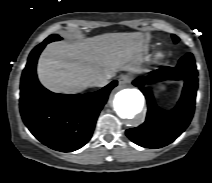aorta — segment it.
<instances>
[{"mask_svg": "<svg viewBox=\"0 0 212 183\" xmlns=\"http://www.w3.org/2000/svg\"><path fill=\"white\" fill-rule=\"evenodd\" d=\"M113 105L119 117L133 119L144 107V96L137 89H123L115 95Z\"/></svg>", "mask_w": 212, "mask_h": 183, "instance_id": "aorta-1", "label": "aorta"}]
</instances>
